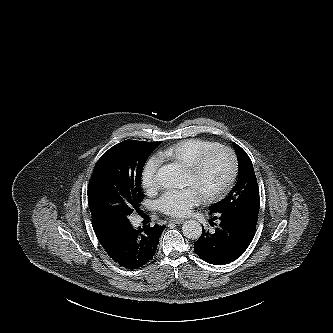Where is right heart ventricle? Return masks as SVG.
Wrapping results in <instances>:
<instances>
[{
  "label": "right heart ventricle",
  "mask_w": 333,
  "mask_h": 333,
  "mask_svg": "<svg viewBox=\"0 0 333 333\" xmlns=\"http://www.w3.org/2000/svg\"><path fill=\"white\" fill-rule=\"evenodd\" d=\"M218 143L204 138L184 139L162 150L160 156L185 167L202 151Z\"/></svg>",
  "instance_id": "obj_1"
}]
</instances>
